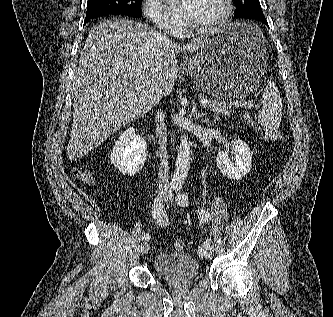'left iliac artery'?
Instances as JSON below:
<instances>
[{
  "label": "left iliac artery",
  "mask_w": 333,
  "mask_h": 317,
  "mask_svg": "<svg viewBox=\"0 0 333 317\" xmlns=\"http://www.w3.org/2000/svg\"><path fill=\"white\" fill-rule=\"evenodd\" d=\"M181 187H182L181 184H177L174 188H175V190L180 191ZM175 199L180 206L185 207V206H188V204H189L188 196L184 193L179 192L176 195ZM198 217H200V219L205 222H208L211 220L210 213L204 208H201L200 210H198ZM208 246H210V239L207 240L206 242H204L203 245L199 248V250H198L199 257H203L205 255V251L208 248Z\"/></svg>",
  "instance_id": "left-iliac-artery-1"
}]
</instances>
